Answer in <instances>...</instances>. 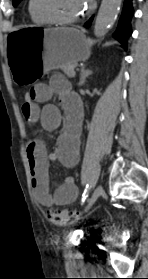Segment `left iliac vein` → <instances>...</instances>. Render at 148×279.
I'll list each match as a JSON object with an SVG mask.
<instances>
[{
  "label": "left iliac vein",
  "instance_id": "obj_1",
  "mask_svg": "<svg viewBox=\"0 0 148 279\" xmlns=\"http://www.w3.org/2000/svg\"><path fill=\"white\" fill-rule=\"evenodd\" d=\"M103 193V188L101 185H98L93 193V195L91 196V198L89 199L83 214L88 212L89 209L92 207V205L95 203V201L98 199V197Z\"/></svg>",
  "mask_w": 148,
  "mask_h": 279
}]
</instances>
